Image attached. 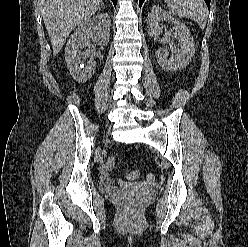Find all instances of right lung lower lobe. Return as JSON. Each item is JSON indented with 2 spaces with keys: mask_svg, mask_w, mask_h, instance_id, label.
<instances>
[{
  "mask_svg": "<svg viewBox=\"0 0 248 247\" xmlns=\"http://www.w3.org/2000/svg\"><path fill=\"white\" fill-rule=\"evenodd\" d=\"M114 6L116 7L117 0H112Z\"/></svg>",
  "mask_w": 248,
  "mask_h": 247,
  "instance_id": "right-lung-lower-lobe-1",
  "label": "right lung lower lobe"
}]
</instances>
